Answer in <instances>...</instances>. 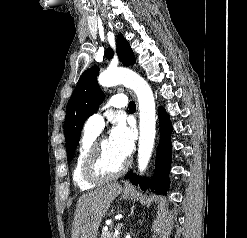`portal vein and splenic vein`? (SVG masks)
Listing matches in <instances>:
<instances>
[{
    "mask_svg": "<svg viewBox=\"0 0 247 238\" xmlns=\"http://www.w3.org/2000/svg\"><path fill=\"white\" fill-rule=\"evenodd\" d=\"M123 226L122 223H119L115 228V233H118L119 229Z\"/></svg>",
    "mask_w": 247,
    "mask_h": 238,
    "instance_id": "portal-vein-and-splenic-vein-1",
    "label": "portal vein and splenic vein"
}]
</instances>
